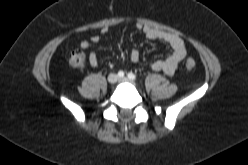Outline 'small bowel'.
<instances>
[{
	"mask_svg": "<svg viewBox=\"0 0 248 165\" xmlns=\"http://www.w3.org/2000/svg\"><path fill=\"white\" fill-rule=\"evenodd\" d=\"M137 28L148 39L161 41L170 46L172 50L171 54L164 60L154 61L152 63V69L155 71L164 72L169 76L174 75L179 65L186 57V48L182 38L174 33L162 31L148 25L138 24ZM108 32V28H102L100 34L92 35L89 39L83 40L80 43V47L83 50H88L92 44L98 43L101 39V36L106 35ZM129 58L131 62L137 63L140 60V53L137 50H132L130 52ZM88 60L91 67H98L99 61L95 51H91L89 53Z\"/></svg>",
	"mask_w": 248,
	"mask_h": 165,
	"instance_id": "1",
	"label": "small bowel"
}]
</instances>
